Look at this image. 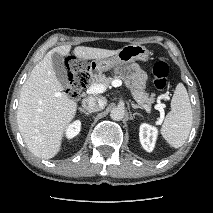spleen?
Segmentation results:
<instances>
[{
	"instance_id": "1",
	"label": "spleen",
	"mask_w": 213,
	"mask_h": 213,
	"mask_svg": "<svg viewBox=\"0 0 213 213\" xmlns=\"http://www.w3.org/2000/svg\"><path fill=\"white\" fill-rule=\"evenodd\" d=\"M192 121L193 114L187 90L179 83L171 100V110L161 127V134L172 147L179 148L189 136Z\"/></svg>"
}]
</instances>
